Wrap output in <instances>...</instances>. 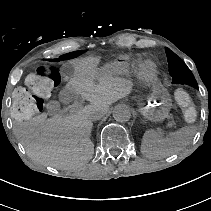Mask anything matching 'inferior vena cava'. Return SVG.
Returning a JSON list of instances; mask_svg holds the SVG:
<instances>
[{
    "mask_svg": "<svg viewBox=\"0 0 211 211\" xmlns=\"http://www.w3.org/2000/svg\"><path fill=\"white\" fill-rule=\"evenodd\" d=\"M90 106H85L84 107V110L88 112L89 114V117H90V120L92 121H96V120H99L101 117H102V113L100 111H90Z\"/></svg>",
    "mask_w": 211,
    "mask_h": 211,
    "instance_id": "1",
    "label": "inferior vena cava"
}]
</instances>
